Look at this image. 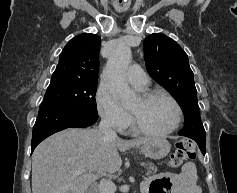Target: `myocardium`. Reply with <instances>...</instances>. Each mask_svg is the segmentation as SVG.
Segmentation results:
<instances>
[{
    "label": "myocardium",
    "mask_w": 237,
    "mask_h": 193,
    "mask_svg": "<svg viewBox=\"0 0 237 193\" xmlns=\"http://www.w3.org/2000/svg\"><path fill=\"white\" fill-rule=\"evenodd\" d=\"M157 97H163L166 98L167 100H169L173 106L175 107L176 110V119L174 124L163 131H152V130H147L141 126H139L136 121L134 120L132 114L129 112V121H130V125L132 127V129L141 135H145V136H150V137H162V136H167L173 132H175L179 126L181 125L182 119H183V111L182 108L180 106V104L178 103V101L169 93L164 92V91H151V92H145L140 96V100L144 103L149 102Z\"/></svg>",
    "instance_id": "f54148a6"
}]
</instances>
